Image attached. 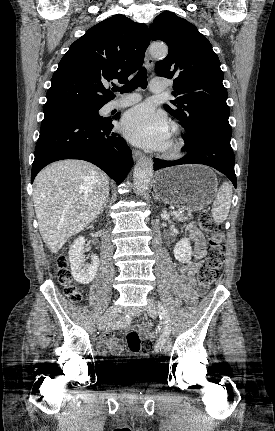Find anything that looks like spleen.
I'll list each match as a JSON object with an SVG mask.
<instances>
[{
	"mask_svg": "<svg viewBox=\"0 0 275 431\" xmlns=\"http://www.w3.org/2000/svg\"><path fill=\"white\" fill-rule=\"evenodd\" d=\"M232 200V188L225 182L219 188L216 199L212 205V217L215 222L222 223L226 220Z\"/></svg>",
	"mask_w": 275,
	"mask_h": 431,
	"instance_id": "spleen-1",
	"label": "spleen"
}]
</instances>
